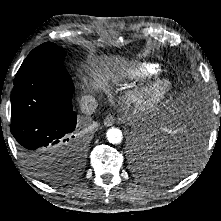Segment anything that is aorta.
Listing matches in <instances>:
<instances>
[{"instance_id":"obj_1","label":"aorta","mask_w":221,"mask_h":221,"mask_svg":"<svg viewBox=\"0 0 221 221\" xmlns=\"http://www.w3.org/2000/svg\"><path fill=\"white\" fill-rule=\"evenodd\" d=\"M108 141L112 144H119L123 140L122 131L118 128H110L106 133Z\"/></svg>"}]
</instances>
